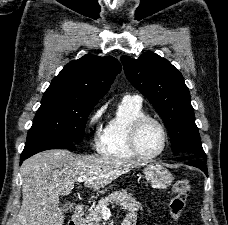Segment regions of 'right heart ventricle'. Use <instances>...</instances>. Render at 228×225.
Returning <instances> with one entry per match:
<instances>
[{
  "mask_svg": "<svg viewBox=\"0 0 228 225\" xmlns=\"http://www.w3.org/2000/svg\"><path fill=\"white\" fill-rule=\"evenodd\" d=\"M142 104L122 100L114 117L97 139V150L113 158H138L130 146V130L133 122L145 116Z\"/></svg>",
  "mask_w": 228,
  "mask_h": 225,
  "instance_id": "1",
  "label": "right heart ventricle"
}]
</instances>
